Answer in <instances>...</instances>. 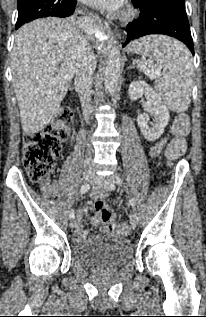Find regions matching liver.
I'll return each instance as SVG.
<instances>
[{
	"instance_id": "obj_1",
	"label": "liver",
	"mask_w": 206,
	"mask_h": 317,
	"mask_svg": "<svg viewBox=\"0 0 206 317\" xmlns=\"http://www.w3.org/2000/svg\"><path fill=\"white\" fill-rule=\"evenodd\" d=\"M80 38L69 20L52 17L28 23L17 32L11 68L24 133L41 131L57 115L77 69Z\"/></svg>"
}]
</instances>
